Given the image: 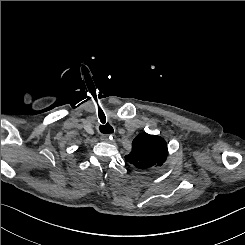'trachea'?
Segmentation results:
<instances>
[{
    "instance_id": "obj_1",
    "label": "trachea",
    "mask_w": 245,
    "mask_h": 245,
    "mask_svg": "<svg viewBox=\"0 0 245 245\" xmlns=\"http://www.w3.org/2000/svg\"><path fill=\"white\" fill-rule=\"evenodd\" d=\"M99 119L101 122V124L99 126L100 132L103 134L113 133L114 129L110 124L106 123V118H105V115L102 111H99Z\"/></svg>"
}]
</instances>
